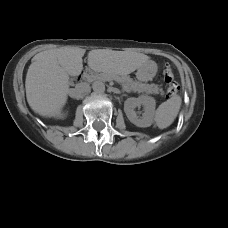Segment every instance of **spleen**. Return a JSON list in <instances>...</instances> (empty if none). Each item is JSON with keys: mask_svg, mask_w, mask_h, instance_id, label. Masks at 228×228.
Masks as SVG:
<instances>
[{"mask_svg": "<svg viewBox=\"0 0 228 228\" xmlns=\"http://www.w3.org/2000/svg\"><path fill=\"white\" fill-rule=\"evenodd\" d=\"M182 99L179 95H175L167 101L161 103L155 111V125L160 129L169 127L177 117Z\"/></svg>", "mask_w": 228, "mask_h": 228, "instance_id": "1", "label": "spleen"}]
</instances>
